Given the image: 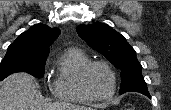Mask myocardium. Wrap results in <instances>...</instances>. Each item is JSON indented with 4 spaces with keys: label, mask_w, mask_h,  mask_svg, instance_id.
I'll list each match as a JSON object with an SVG mask.
<instances>
[{
    "label": "myocardium",
    "mask_w": 171,
    "mask_h": 110,
    "mask_svg": "<svg viewBox=\"0 0 171 110\" xmlns=\"http://www.w3.org/2000/svg\"><path fill=\"white\" fill-rule=\"evenodd\" d=\"M95 66H102L104 67L108 73L111 76L112 79V89L109 94L106 96H96L94 95L87 83V77L91 69ZM79 84L80 88L84 92V94L90 98L92 101H108L112 99L116 93L117 90V77L113 70V68L105 61H90L88 64L84 66V68L81 70L80 76H79Z\"/></svg>",
    "instance_id": "myocardium-1"
}]
</instances>
